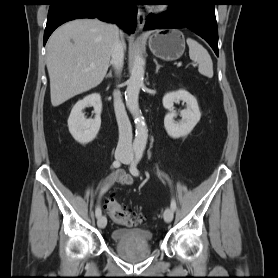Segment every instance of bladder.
<instances>
[{"instance_id":"obj_1","label":"bladder","mask_w":278,"mask_h":278,"mask_svg":"<svg viewBox=\"0 0 278 278\" xmlns=\"http://www.w3.org/2000/svg\"><path fill=\"white\" fill-rule=\"evenodd\" d=\"M111 238L116 244L148 245L153 240V234L142 228H117L112 231Z\"/></svg>"}]
</instances>
